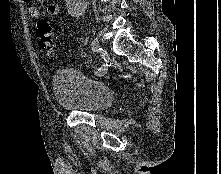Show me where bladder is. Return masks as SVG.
<instances>
[{
	"label": "bladder",
	"instance_id": "bladder-1",
	"mask_svg": "<svg viewBox=\"0 0 221 174\" xmlns=\"http://www.w3.org/2000/svg\"><path fill=\"white\" fill-rule=\"evenodd\" d=\"M52 90L58 106L69 112H100L111 105L114 97L107 85L75 69L56 71Z\"/></svg>",
	"mask_w": 221,
	"mask_h": 174
}]
</instances>
